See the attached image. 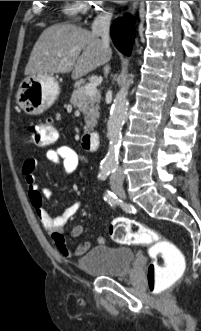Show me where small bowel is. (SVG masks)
Here are the masks:
<instances>
[{"label": "small bowel", "mask_w": 201, "mask_h": 331, "mask_svg": "<svg viewBox=\"0 0 201 331\" xmlns=\"http://www.w3.org/2000/svg\"><path fill=\"white\" fill-rule=\"evenodd\" d=\"M46 158L53 164L61 166L66 175H71L77 168L79 162L78 154L69 146L58 145L46 152ZM38 166V160L35 158L27 159L23 162L21 172L24 176L27 188L28 197L35 212L44 227V229L51 234L53 242L57 250L65 257H78L85 254L91 247L89 241H85L73 248L68 245L63 232L64 227L80 210L82 203L75 202L65 209V211L57 216L51 217L43 204V198L50 197L51 193L48 190L41 189L37 183L35 170ZM84 228L81 225L75 226L71 235L74 238L82 236ZM103 237H98L97 242L104 243Z\"/></svg>", "instance_id": "c3829d8e"}]
</instances>
